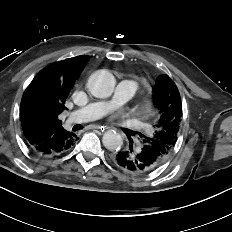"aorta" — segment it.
I'll return each mask as SVG.
<instances>
[{"instance_id": "aorta-1", "label": "aorta", "mask_w": 232, "mask_h": 232, "mask_svg": "<svg viewBox=\"0 0 232 232\" xmlns=\"http://www.w3.org/2000/svg\"><path fill=\"white\" fill-rule=\"evenodd\" d=\"M88 88L93 96L97 98H107L113 92L114 77L108 71H98L89 78ZM102 142L106 149L114 151L121 148L123 139L116 131L109 130L104 133Z\"/></svg>"}]
</instances>
